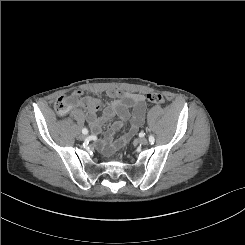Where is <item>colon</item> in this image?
<instances>
[{
	"label": "colon",
	"instance_id": "colon-1",
	"mask_svg": "<svg viewBox=\"0 0 245 245\" xmlns=\"http://www.w3.org/2000/svg\"><path fill=\"white\" fill-rule=\"evenodd\" d=\"M146 98L153 104H163L165 102V98L159 93H149ZM83 102L84 97L82 98L79 93H75L72 96H61L56 101L55 109L59 115H64L71 108L81 105Z\"/></svg>",
	"mask_w": 245,
	"mask_h": 245
}]
</instances>
